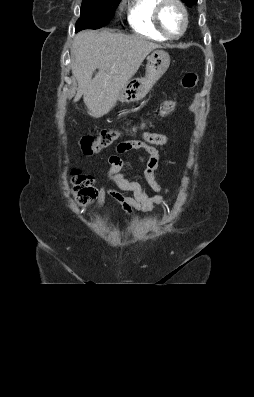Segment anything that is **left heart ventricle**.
Here are the masks:
<instances>
[{
    "label": "left heart ventricle",
    "instance_id": "obj_1",
    "mask_svg": "<svg viewBox=\"0 0 254 397\" xmlns=\"http://www.w3.org/2000/svg\"><path fill=\"white\" fill-rule=\"evenodd\" d=\"M161 20L163 27L171 35H177L182 29L183 18L176 5H166L162 11Z\"/></svg>",
    "mask_w": 254,
    "mask_h": 397
}]
</instances>
